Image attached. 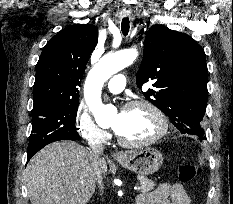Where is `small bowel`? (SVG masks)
<instances>
[{
  "label": "small bowel",
  "mask_w": 233,
  "mask_h": 204,
  "mask_svg": "<svg viewBox=\"0 0 233 204\" xmlns=\"http://www.w3.org/2000/svg\"><path fill=\"white\" fill-rule=\"evenodd\" d=\"M137 204H191V199L181 184L165 182L151 192L140 194Z\"/></svg>",
  "instance_id": "c3829d8e"
}]
</instances>
